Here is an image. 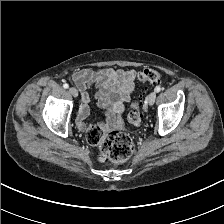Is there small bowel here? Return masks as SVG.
<instances>
[{"label":"small bowel","mask_w":224,"mask_h":224,"mask_svg":"<svg viewBox=\"0 0 224 224\" xmlns=\"http://www.w3.org/2000/svg\"><path fill=\"white\" fill-rule=\"evenodd\" d=\"M136 79L135 70H120L112 68L81 69L72 75L73 83L81 92L82 105L77 116V126L84 129L86 118L90 114L89 88H96L95 97L99 105L112 115L130 101Z\"/></svg>","instance_id":"small-bowel-1"}]
</instances>
